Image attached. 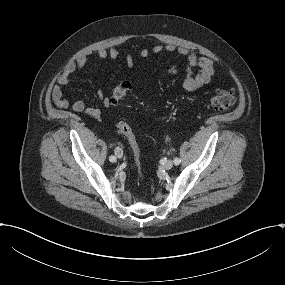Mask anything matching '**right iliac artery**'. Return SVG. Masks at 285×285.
I'll use <instances>...</instances> for the list:
<instances>
[{
	"label": "right iliac artery",
	"instance_id": "obj_1",
	"mask_svg": "<svg viewBox=\"0 0 285 285\" xmlns=\"http://www.w3.org/2000/svg\"><path fill=\"white\" fill-rule=\"evenodd\" d=\"M109 161L110 162H115L116 161V157L115 156H110L109 157Z\"/></svg>",
	"mask_w": 285,
	"mask_h": 285
}]
</instances>
